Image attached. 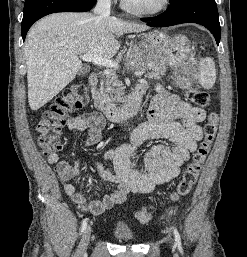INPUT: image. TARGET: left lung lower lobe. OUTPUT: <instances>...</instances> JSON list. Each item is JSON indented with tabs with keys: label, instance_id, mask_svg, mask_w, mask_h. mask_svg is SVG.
Here are the masks:
<instances>
[{
	"label": "left lung lower lobe",
	"instance_id": "obj_1",
	"mask_svg": "<svg viewBox=\"0 0 247 257\" xmlns=\"http://www.w3.org/2000/svg\"><path fill=\"white\" fill-rule=\"evenodd\" d=\"M147 23L152 27H166L181 23H198L206 27L220 42V23L215 0H172L168 9Z\"/></svg>",
	"mask_w": 247,
	"mask_h": 257
}]
</instances>
